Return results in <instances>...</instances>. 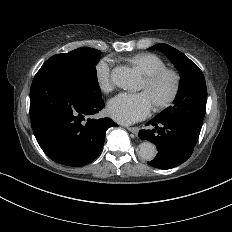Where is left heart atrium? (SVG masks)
I'll return each mask as SVG.
<instances>
[{
    "instance_id": "39dd6f15",
    "label": "left heart atrium",
    "mask_w": 232,
    "mask_h": 232,
    "mask_svg": "<svg viewBox=\"0 0 232 232\" xmlns=\"http://www.w3.org/2000/svg\"><path fill=\"white\" fill-rule=\"evenodd\" d=\"M155 106L147 92L122 93L107 104V114L122 124H132L145 119Z\"/></svg>"
}]
</instances>
